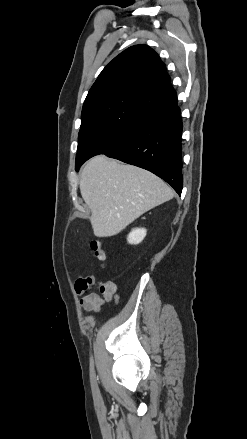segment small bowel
<instances>
[{
    "label": "small bowel",
    "mask_w": 247,
    "mask_h": 439,
    "mask_svg": "<svg viewBox=\"0 0 247 439\" xmlns=\"http://www.w3.org/2000/svg\"><path fill=\"white\" fill-rule=\"evenodd\" d=\"M95 286L92 275L80 276L74 282V288L81 295L79 304L87 312L98 313L108 302L119 300V287L113 281H102L98 285V292L91 291Z\"/></svg>",
    "instance_id": "small-bowel-1"
}]
</instances>
